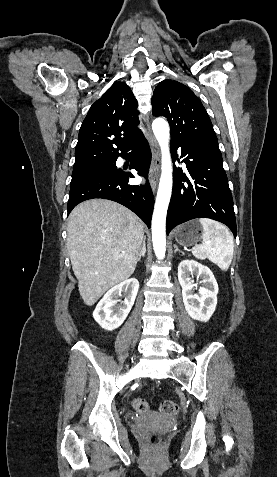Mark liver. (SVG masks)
<instances>
[{
	"mask_svg": "<svg viewBox=\"0 0 277 477\" xmlns=\"http://www.w3.org/2000/svg\"><path fill=\"white\" fill-rule=\"evenodd\" d=\"M143 237L144 223L116 202L91 199L72 210L67 249L86 305L133 274Z\"/></svg>",
	"mask_w": 277,
	"mask_h": 477,
	"instance_id": "obj_1",
	"label": "liver"
}]
</instances>
